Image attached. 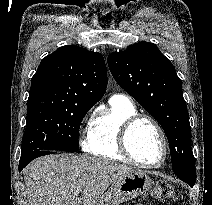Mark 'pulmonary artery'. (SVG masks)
I'll return each mask as SVG.
<instances>
[{"label": "pulmonary artery", "mask_w": 212, "mask_h": 205, "mask_svg": "<svg viewBox=\"0 0 212 205\" xmlns=\"http://www.w3.org/2000/svg\"><path fill=\"white\" fill-rule=\"evenodd\" d=\"M115 96H120V97L127 98L126 96H124V95H120V94H118V95H115ZM127 99H128V98H127Z\"/></svg>", "instance_id": "1"}]
</instances>
